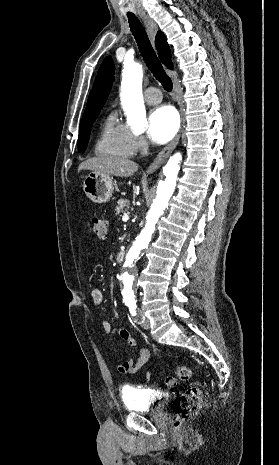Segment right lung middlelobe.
I'll return each instance as SVG.
<instances>
[{"label":"right lung middle lobe","instance_id":"1","mask_svg":"<svg viewBox=\"0 0 279 465\" xmlns=\"http://www.w3.org/2000/svg\"><path fill=\"white\" fill-rule=\"evenodd\" d=\"M95 120H93L88 126H85L83 128H79V138H78V151L83 152L86 149L89 137H90V131L92 124Z\"/></svg>","mask_w":279,"mask_h":465}]
</instances>
